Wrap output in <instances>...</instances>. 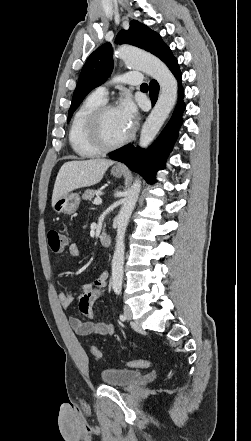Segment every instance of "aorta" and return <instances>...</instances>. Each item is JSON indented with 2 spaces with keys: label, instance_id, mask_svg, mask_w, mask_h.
<instances>
[{
  "label": "aorta",
  "instance_id": "1",
  "mask_svg": "<svg viewBox=\"0 0 251 441\" xmlns=\"http://www.w3.org/2000/svg\"><path fill=\"white\" fill-rule=\"evenodd\" d=\"M115 56L133 69H138L153 77L160 86L158 100L143 124L139 145L147 147L168 118L177 100V81L168 67L157 57L131 47H120ZM141 181L136 179L123 200L117 217V235L112 259V287L120 290L123 280L124 238L132 211L138 200Z\"/></svg>",
  "mask_w": 251,
  "mask_h": 441
}]
</instances>
